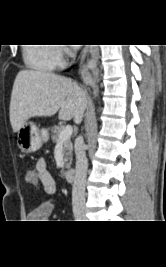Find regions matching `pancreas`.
I'll return each instance as SVG.
<instances>
[{"label": "pancreas", "mask_w": 166, "mask_h": 267, "mask_svg": "<svg viewBox=\"0 0 166 267\" xmlns=\"http://www.w3.org/2000/svg\"><path fill=\"white\" fill-rule=\"evenodd\" d=\"M64 129L63 126H54L51 129L52 133V140L55 143H58L59 140V135ZM63 154H64V162H65V168H70L71 163H72V142L70 139H67L66 141L63 142ZM63 172V170H62Z\"/></svg>", "instance_id": "obj_1"}]
</instances>
